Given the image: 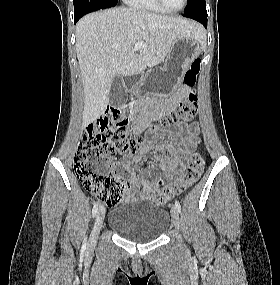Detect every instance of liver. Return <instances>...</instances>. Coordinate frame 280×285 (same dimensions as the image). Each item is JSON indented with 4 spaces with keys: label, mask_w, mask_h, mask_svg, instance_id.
I'll return each mask as SVG.
<instances>
[{
    "label": "liver",
    "mask_w": 280,
    "mask_h": 285,
    "mask_svg": "<svg viewBox=\"0 0 280 285\" xmlns=\"http://www.w3.org/2000/svg\"><path fill=\"white\" fill-rule=\"evenodd\" d=\"M75 34L84 92L82 127H86L105 112L114 77L137 75L158 65L177 38L199 40L203 30L188 19L118 7L85 15ZM138 41L144 47L134 50Z\"/></svg>",
    "instance_id": "1"
}]
</instances>
